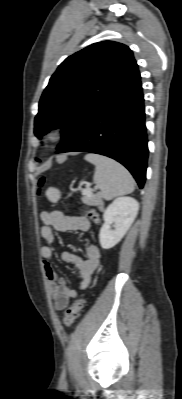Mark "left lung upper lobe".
Returning <instances> with one entry per match:
<instances>
[{
  "label": "left lung upper lobe",
  "instance_id": "left-lung-upper-lobe-1",
  "mask_svg": "<svg viewBox=\"0 0 182 399\" xmlns=\"http://www.w3.org/2000/svg\"><path fill=\"white\" fill-rule=\"evenodd\" d=\"M139 74L128 46L104 41L66 58L50 78L35 117L34 133L41 138L62 128L61 151L86 128L104 104Z\"/></svg>",
  "mask_w": 182,
  "mask_h": 399
}]
</instances>
